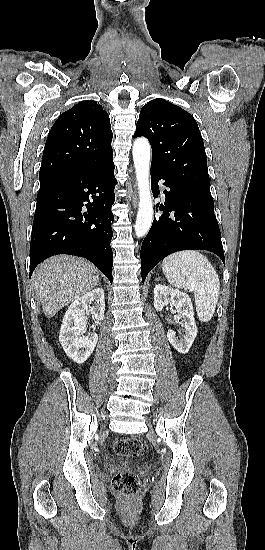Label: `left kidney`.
<instances>
[{"label": "left kidney", "mask_w": 265, "mask_h": 550, "mask_svg": "<svg viewBox=\"0 0 265 550\" xmlns=\"http://www.w3.org/2000/svg\"><path fill=\"white\" fill-rule=\"evenodd\" d=\"M167 305L176 308L179 317L183 319L184 326V332L181 333L182 337L180 339L176 332L171 329L167 332V338L179 353L185 354L189 351L197 336L191 299L182 291L158 284L154 287V307L157 311H162Z\"/></svg>", "instance_id": "1"}]
</instances>
